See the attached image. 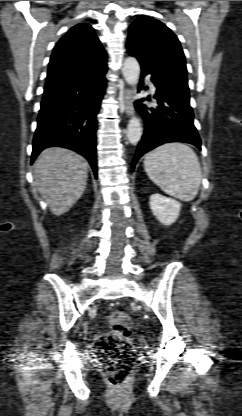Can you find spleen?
Wrapping results in <instances>:
<instances>
[{
  "label": "spleen",
  "instance_id": "spleen-1",
  "mask_svg": "<svg viewBox=\"0 0 242 416\" xmlns=\"http://www.w3.org/2000/svg\"><path fill=\"white\" fill-rule=\"evenodd\" d=\"M144 169L148 177L165 193L191 201L202 180L196 153L179 142L163 144L146 154Z\"/></svg>",
  "mask_w": 242,
  "mask_h": 416
}]
</instances>
